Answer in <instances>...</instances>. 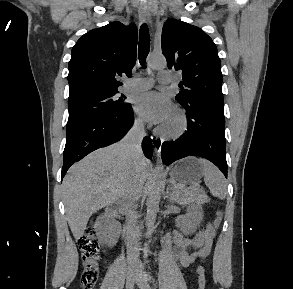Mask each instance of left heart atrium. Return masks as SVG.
Instances as JSON below:
<instances>
[{
  "label": "left heart atrium",
  "instance_id": "obj_1",
  "mask_svg": "<svg viewBox=\"0 0 293 289\" xmlns=\"http://www.w3.org/2000/svg\"><path fill=\"white\" fill-rule=\"evenodd\" d=\"M136 112L152 124H164L172 115L169 99L158 92H146L137 97Z\"/></svg>",
  "mask_w": 293,
  "mask_h": 289
}]
</instances>
